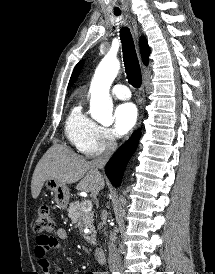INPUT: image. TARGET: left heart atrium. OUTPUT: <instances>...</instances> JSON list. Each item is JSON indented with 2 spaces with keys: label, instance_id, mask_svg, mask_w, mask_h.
Masks as SVG:
<instances>
[{
  "label": "left heart atrium",
  "instance_id": "obj_1",
  "mask_svg": "<svg viewBox=\"0 0 215 274\" xmlns=\"http://www.w3.org/2000/svg\"><path fill=\"white\" fill-rule=\"evenodd\" d=\"M137 109L132 103L118 105L113 114L114 130L117 136H124L132 130L137 122Z\"/></svg>",
  "mask_w": 215,
  "mask_h": 274
}]
</instances>
